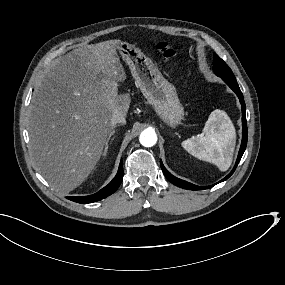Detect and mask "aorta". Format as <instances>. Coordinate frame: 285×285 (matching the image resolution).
Returning a JSON list of instances; mask_svg holds the SVG:
<instances>
[{
    "label": "aorta",
    "instance_id": "obj_1",
    "mask_svg": "<svg viewBox=\"0 0 285 285\" xmlns=\"http://www.w3.org/2000/svg\"><path fill=\"white\" fill-rule=\"evenodd\" d=\"M139 140L142 146L152 147L157 142V135L153 129L148 128L140 134Z\"/></svg>",
    "mask_w": 285,
    "mask_h": 285
}]
</instances>
